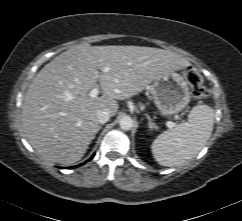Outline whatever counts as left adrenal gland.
Masks as SVG:
<instances>
[{"label": "left adrenal gland", "instance_id": "a2214340", "mask_svg": "<svg viewBox=\"0 0 242 221\" xmlns=\"http://www.w3.org/2000/svg\"><path fill=\"white\" fill-rule=\"evenodd\" d=\"M145 116L148 119V127L150 129H157L156 124L152 122V119L150 118V116L148 114H145Z\"/></svg>", "mask_w": 242, "mask_h": 221}]
</instances>
